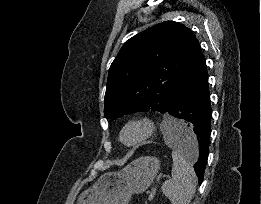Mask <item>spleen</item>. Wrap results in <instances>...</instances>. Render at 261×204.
Segmentation results:
<instances>
[{"mask_svg": "<svg viewBox=\"0 0 261 204\" xmlns=\"http://www.w3.org/2000/svg\"><path fill=\"white\" fill-rule=\"evenodd\" d=\"M186 128L185 123L172 119L164 126L166 143L171 147H174L175 144L181 147L176 142L177 136ZM172 159V177L163 183L161 190L172 204H190L196 189L195 172L177 149H173Z\"/></svg>", "mask_w": 261, "mask_h": 204, "instance_id": "obj_1", "label": "spleen"}]
</instances>
